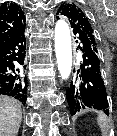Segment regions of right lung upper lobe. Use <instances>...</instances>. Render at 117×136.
Here are the masks:
<instances>
[{"label":"right lung upper lobe","instance_id":"obj_1","mask_svg":"<svg viewBox=\"0 0 117 136\" xmlns=\"http://www.w3.org/2000/svg\"><path fill=\"white\" fill-rule=\"evenodd\" d=\"M25 16L16 3H3L0 6V46L23 23Z\"/></svg>","mask_w":117,"mask_h":136}]
</instances>
